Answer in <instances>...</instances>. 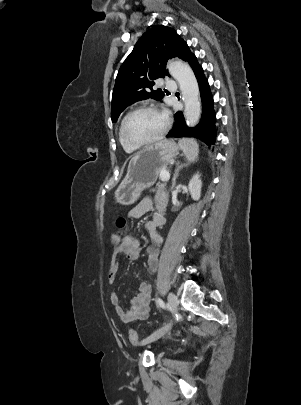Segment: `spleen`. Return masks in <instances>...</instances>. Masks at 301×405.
Wrapping results in <instances>:
<instances>
[{
	"label": "spleen",
	"instance_id": "obj_1",
	"mask_svg": "<svg viewBox=\"0 0 301 405\" xmlns=\"http://www.w3.org/2000/svg\"><path fill=\"white\" fill-rule=\"evenodd\" d=\"M180 149L190 161H194L199 153L198 143L193 139H181L178 142Z\"/></svg>",
	"mask_w": 301,
	"mask_h": 405
}]
</instances>
